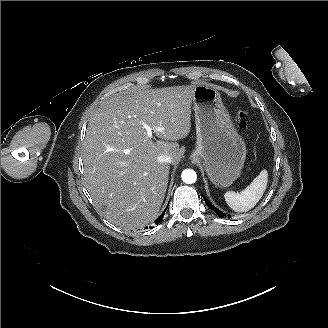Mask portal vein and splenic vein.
<instances>
[{"mask_svg":"<svg viewBox=\"0 0 328 328\" xmlns=\"http://www.w3.org/2000/svg\"><path fill=\"white\" fill-rule=\"evenodd\" d=\"M159 131H165V128L164 127H161V128H159ZM147 134L149 135V136H152V131L150 130V129H148L147 128ZM120 150V149H119ZM121 151V150H120Z\"/></svg>","mask_w":328,"mask_h":328,"instance_id":"portal-vein-and-splenic-vein-1","label":"portal vein and splenic vein"}]
</instances>
